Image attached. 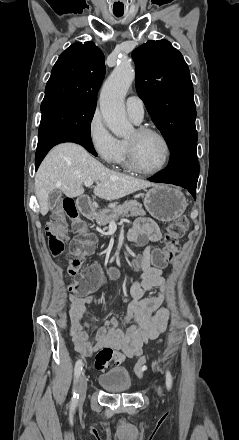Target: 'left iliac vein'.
<instances>
[{
	"label": "left iliac vein",
	"instance_id": "obj_1",
	"mask_svg": "<svg viewBox=\"0 0 239 440\" xmlns=\"http://www.w3.org/2000/svg\"><path fill=\"white\" fill-rule=\"evenodd\" d=\"M158 392H159V394H162V389H161V387H159Z\"/></svg>",
	"mask_w": 239,
	"mask_h": 440
}]
</instances>
